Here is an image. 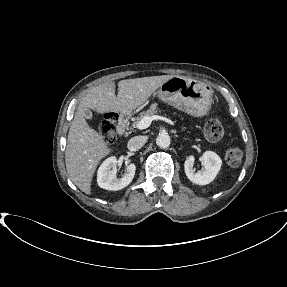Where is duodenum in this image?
Masks as SVG:
<instances>
[{
    "label": "duodenum",
    "instance_id": "duodenum-1",
    "mask_svg": "<svg viewBox=\"0 0 287 287\" xmlns=\"http://www.w3.org/2000/svg\"><path fill=\"white\" fill-rule=\"evenodd\" d=\"M129 121V116L126 113H122L119 118L118 126H117V133L119 137H122L127 130Z\"/></svg>",
    "mask_w": 287,
    "mask_h": 287
}]
</instances>
